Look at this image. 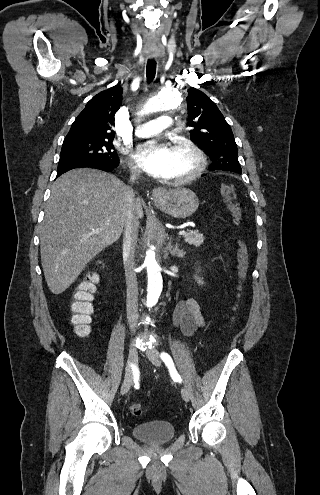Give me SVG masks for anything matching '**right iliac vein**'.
Here are the masks:
<instances>
[{
    "label": "right iliac vein",
    "instance_id": "63e3f726",
    "mask_svg": "<svg viewBox=\"0 0 320 495\" xmlns=\"http://www.w3.org/2000/svg\"><path fill=\"white\" fill-rule=\"evenodd\" d=\"M137 358H138V355H137V349L135 348V346L131 343L130 346H129V352H128V366L126 368V372H125V377H124V381H123V384H122V387H121V394L124 395L126 394L132 383H133V369H132V365L136 364L137 362Z\"/></svg>",
    "mask_w": 320,
    "mask_h": 495
}]
</instances>
